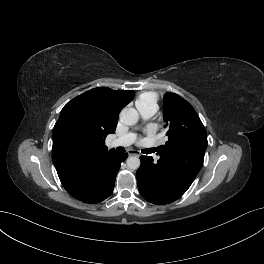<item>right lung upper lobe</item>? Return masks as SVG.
I'll return each instance as SVG.
<instances>
[{"label": "right lung upper lobe", "instance_id": "obj_1", "mask_svg": "<svg viewBox=\"0 0 264 264\" xmlns=\"http://www.w3.org/2000/svg\"><path fill=\"white\" fill-rule=\"evenodd\" d=\"M134 91L112 90L106 87L91 89L67 103L53 129V162L67 191L78 190L87 170L108 151L105 139L114 133L118 115L133 98ZM73 105H81L86 115L87 132L81 137L67 133L61 127L64 112Z\"/></svg>", "mask_w": 264, "mask_h": 264}]
</instances>
